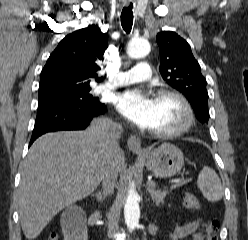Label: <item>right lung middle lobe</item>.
I'll list each match as a JSON object with an SVG mask.
<instances>
[{"label": "right lung middle lobe", "mask_w": 248, "mask_h": 240, "mask_svg": "<svg viewBox=\"0 0 248 240\" xmlns=\"http://www.w3.org/2000/svg\"><path fill=\"white\" fill-rule=\"evenodd\" d=\"M89 91L90 90L77 94L39 98L38 104L65 103L75 106H97L100 102H98L95 98L92 99Z\"/></svg>", "instance_id": "dd1d6c3e"}]
</instances>
